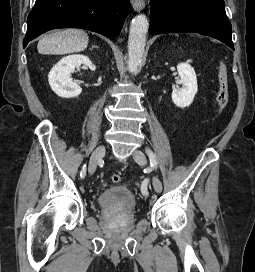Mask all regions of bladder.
I'll return each instance as SVG.
<instances>
[{"instance_id": "bladder-1", "label": "bladder", "mask_w": 255, "mask_h": 272, "mask_svg": "<svg viewBox=\"0 0 255 272\" xmlns=\"http://www.w3.org/2000/svg\"><path fill=\"white\" fill-rule=\"evenodd\" d=\"M97 203L104 208L132 210L136 205V198L128 187L114 185L106 188L97 196Z\"/></svg>"}]
</instances>
